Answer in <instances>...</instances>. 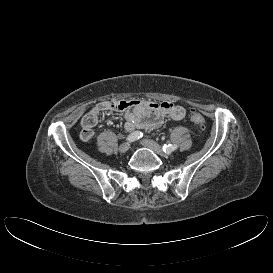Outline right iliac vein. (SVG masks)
I'll use <instances>...</instances> for the list:
<instances>
[{"instance_id": "obj_1", "label": "right iliac vein", "mask_w": 273, "mask_h": 273, "mask_svg": "<svg viewBox=\"0 0 273 273\" xmlns=\"http://www.w3.org/2000/svg\"><path fill=\"white\" fill-rule=\"evenodd\" d=\"M129 148H130V143L125 142V143H122V144L119 146V151H120L121 153H125V152H127V151L129 150Z\"/></svg>"}]
</instances>
